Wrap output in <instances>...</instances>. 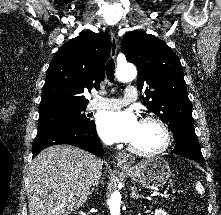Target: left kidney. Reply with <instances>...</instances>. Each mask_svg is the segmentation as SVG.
<instances>
[{
    "label": "left kidney",
    "mask_w": 221,
    "mask_h": 215,
    "mask_svg": "<svg viewBox=\"0 0 221 215\" xmlns=\"http://www.w3.org/2000/svg\"><path fill=\"white\" fill-rule=\"evenodd\" d=\"M155 215H167V213L164 210L159 209V210H155Z\"/></svg>",
    "instance_id": "left-kidney-1"
}]
</instances>
